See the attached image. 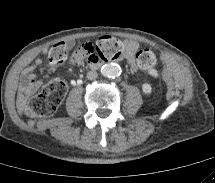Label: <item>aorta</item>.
Listing matches in <instances>:
<instances>
[{
  "mask_svg": "<svg viewBox=\"0 0 215 183\" xmlns=\"http://www.w3.org/2000/svg\"><path fill=\"white\" fill-rule=\"evenodd\" d=\"M101 73L105 77L113 78L120 75L121 68L115 63H109L101 67Z\"/></svg>",
  "mask_w": 215,
  "mask_h": 183,
  "instance_id": "762f6f07",
  "label": "aorta"
}]
</instances>
